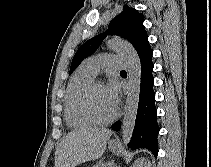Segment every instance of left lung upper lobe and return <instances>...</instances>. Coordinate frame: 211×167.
I'll return each instance as SVG.
<instances>
[{
	"label": "left lung upper lobe",
	"instance_id": "1",
	"mask_svg": "<svg viewBox=\"0 0 211 167\" xmlns=\"http://www.w3.org/2000/svg\"><path fill=\"white\" fill-rule=\"evenodd\" d=\"M144 15L127 5L120 15L116 16L108 25V30L86 41L76 52L71 63L70 73L87 56L93 54L107 34L119 35L133 45L139 58L152 51L148 42V35L143 25Z\"/></svg>",
	"mask_w": 211,
	"mask_h": 167
}]
</instances>
